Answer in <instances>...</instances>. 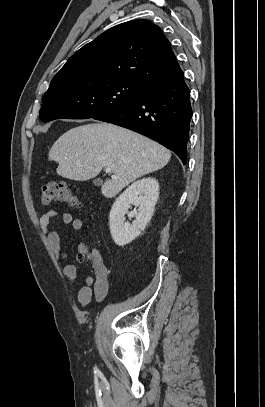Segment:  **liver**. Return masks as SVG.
Masks as SVG:
<instances>
[{
  "instance_id": "1",
  "label": "liver",
  "mask_w": 265,
  "mask_h": 407,
  "mask_svg": "<svg viewBox=\"0 0 265 407\" xmlns=\"http://www.w3.org/2000/svg\"><path fill=\"white\" fill-rule=\"evenodd\" d=\"M48 156L58 163L59 176L75 181H87L110 167L113 175L105 180L101 192L112 198L137 178L166 166L171 152L129 129L90 123L65 132Z\"/></svg>"
}]
</instances>
